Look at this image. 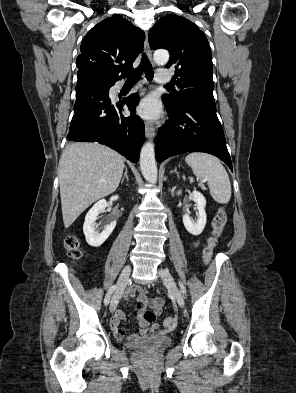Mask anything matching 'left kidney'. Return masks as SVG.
<instances>
[{"label": "left kidney", "mask_w": 296, "mask_h": 393, "mask_svg": "<svg viewBox=\"0 0 296 393\" xmlns=\"http://www.w3.org/2000/svg\"><path fill=\"white\" fill-rule=\"evenodd\" d=\"M181 194V191L178 192V195ZM193 200L197 204L198 209V219L197 221L191 220L190 216L187 214L183 215V223L186 230L192 235H200L206 225L207 216L205 212L206 207V199L199 191L194 190L192 192Z\"/></svg>", "instance_id": "1"}]
</instances>
